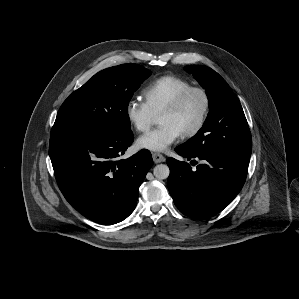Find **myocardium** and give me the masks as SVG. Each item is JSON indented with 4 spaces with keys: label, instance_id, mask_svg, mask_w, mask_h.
Instances as JSON below:
<instances>
[{
    "label": "myocardium",
    "instance_id": "1",
    "mask_svg": "<svg viewBox=\"0 0 299 299\" xmlns=\"http://www.w3.org/2000/svg\"><path fill=\"white\" fill-rule=\"evenodd\" d=\"M195 93L199 94L202 97L203 109H202L201 115H200L198 121L195 123V125L189 129L185 130L184 132H182V135L184 137L195 136L204 127V125L207 121L209 112H210V108H211V99H210V95H209L208 91L203 87L192 86V87L186 89L185 91L181 92L177 97H175L174 100L169 105H167L160 113V115H161V114H165V113L177 112L185 104V102L188 100V98Z\"/></svg>",
    "mask_w": 299,
    "mask_h": 299
}]
</instances>
